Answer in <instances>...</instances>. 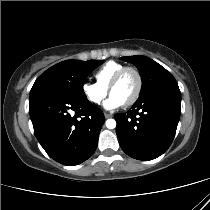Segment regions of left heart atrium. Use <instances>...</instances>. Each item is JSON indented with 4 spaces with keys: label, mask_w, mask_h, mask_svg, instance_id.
<instances>
[{
    "label": "left heart atrium",
    "mask_w": 210,
    "mask_h": 210,
    "mask_svg": "<svg viewBox=\"0 0 210 210\" xmlns=\"http://www.w3.org/2000/svg\"><path fill=\"white\" fill-rule=\"evenodd\" d=\"M123 105L124 103L115 95H110V97L103 104L104 108L107 110H114Z\"/></svg>",
    "instance_id": "1"
}]
</instances>
